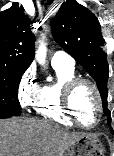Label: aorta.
Returning a JSON list of instances; mask_svg holds the SVG:
<instances>
[{
	"instance_id": "1",
	"label": "aorta",
	"mask_w": 114,
	"mask_h": 156,
	"mask_svg": "<svg viewBox=\"0 0 114 156\" xmlns=\"http://www.w3.org/2000/svg\"><path fill=\"white\" fill-rule=\"evenodd\" d=\"M47 54V48L44 42H40L38 49L36 50L35 58L39 64L44 65Z\"/></svg>"
}]
</instances>
